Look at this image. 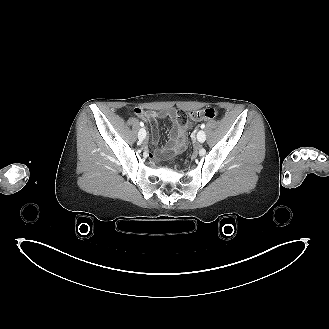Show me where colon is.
I'll return each mask as SVG.
<instances>
[{"mask_svg":"<svg viewBox=\"0 0 329 329\" xmlns=\"http://www.w3.org/2000/svg\"><path fill=\"white\" fill-rule=\"evenodd\" d=\"M216 115H217V112L212 108L196 110V111H192L188 114L190 119H192L193 121H197V122L211 120V119L215 118Z\"/></svg>","mask_w":329,"mask_h":329,"instance_id":"obj_1","label":"colon"}]
</instances>
